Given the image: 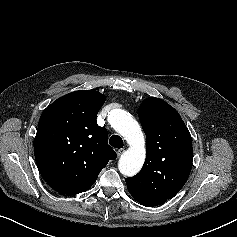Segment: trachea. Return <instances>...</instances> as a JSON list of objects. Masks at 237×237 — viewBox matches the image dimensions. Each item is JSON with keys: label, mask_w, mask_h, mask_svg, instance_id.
Instances as JSON below:
<instances>
[{"label": "trachea", "mask_w": 237, "mask_h": 237, "mask_svg": "<svg viewBox=\"0 0 237 237\" xmlns=\"http://www.w3.org/2000/svg\"><path fill=\"white\" fill-rule=\"evenodd\" d=\"M109 144L114 148L120 149L123 147V140L118 135H112L109 139Z\"/></svg>", "instance_id": "1"}]
</instances>
